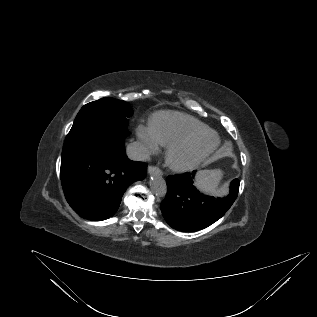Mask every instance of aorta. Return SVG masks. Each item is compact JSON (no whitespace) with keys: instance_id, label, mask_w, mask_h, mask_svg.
<instances>
[{"instance_id":"obj_1","label":"aorta","mask_w":317,"mask_h":317,"mask_svg":"<svg viewBox=\"0 0 317 317\" xmlns=\"http://www.w3.org/2000/svg\"><path fill=\"white\" fill-rule=\"evenodd\" d=\"M150 188L151 191L157 196V197H164L167 192V185L166 181L162 177V174L155 170L150 177Z\"/></svg>"}]
</instances>
